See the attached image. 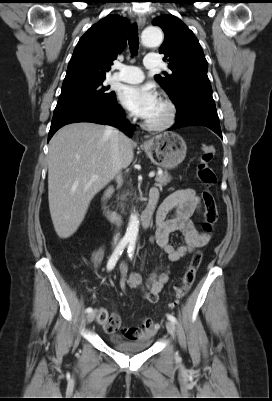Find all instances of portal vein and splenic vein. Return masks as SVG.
<instances>
[{
    "label": "portal vein and splenic vein",
    "mask_w": 272,
    "mask_h": 401,
    "mask_svg": "<svg viewBox=\"0 0 272 401\" xmlns=\"http://www.w3.org/2000/svg\"><path fill=\"white\" fill-rule=\"evenodd\" d=\"M154 176H155V173H154V172H150V173H149V177H150V178H153ZM95 177L97 178V176H95Z\"/></svg>",
    "instance_id": "portal-vein-and-splenic-vein-1"
}]
</instances>
